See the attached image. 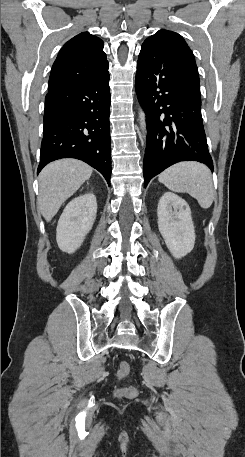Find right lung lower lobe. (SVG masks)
Segmentation results:
<instances>
[{"label": "right lung lower lobe", "mask_w": 245, "mask_h": 457, "mask_svg": "<svg viewBox=\"0 0 245 457\" xmlns=\"http://www.w3.org/2000/svg\"><path fill=\"white\" fill-rule=\"evenodd\" d=\"M108 82L106 72L72 81L47 93L37 173L51 161L76 158L97 169L110 185Z\"/></svg>", "instance_id": "right-lung-lower-lobe-1"}]
</instances>
